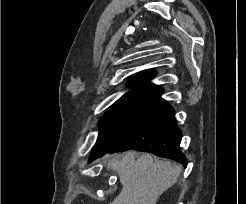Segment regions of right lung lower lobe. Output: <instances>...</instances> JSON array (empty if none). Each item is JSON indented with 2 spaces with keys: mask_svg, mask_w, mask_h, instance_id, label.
<instances>
[{
  "mask_svg": "<svg viewBox=\"0 0 246 204\" xmlns=\"http://www.w3.org/2000/svg\"><path fill=\"white\" fill-rule=\"evenodd\" d=\"M162 92L159 88L131 105L107 153L134 149L187 166L179 147L182 134L176 125L174 110L160 97ZM100 157H91L89 162Z\"/></svg>",
  "mask_w": 246,
  "mask_h": 204,
  "instance_id": "right-lung-lower-lobe-1",
  "label": "right lung lower lobe"
}]
</instances>
